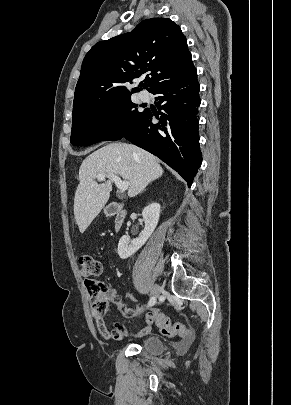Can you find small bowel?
Here are the masks:
<instances>
[{
	"label": "small bowel",
	"mask_w": 291,
	"mask_h": 405,
	"mask_svg": "<svg viewBox=\"0 0 291 405\" xmlns=\"http://www.w3.org/2000/svg\"><path fill=\"white\" fill-rule=\"evenodd\" d=\"M107 299L114 304L116 309L126 318H133L143 313V307L137 306L135 309L127 307L122 301L121 296L117 293L115 288H111L107 293ZM97 329L99 333L107 340H121L127 336V332L123 324L116 322L112 330L108 329L103 317L96 312L92 311ZM153 322L150 317L146 316L145 326L139 330L135 337H142L149 334L153 328Z\"/></svg>",
	"instance_id": "small-bowel-1"
}]
</instances>
